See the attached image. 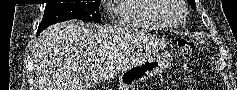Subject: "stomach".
<instances>
[{
    "label": "stomach",
    "instance_id": "0dacf381",
    "mask_svg": "<svg viewBox=\"0 0 237 90\" xmlns=\"http://www.w3.org/2000/svg\"><path fill=\"white\" fill-rule=\"evenodd\" d=\"M170 56L161 54L157 57L145 59L125 69L119 76L121 90H129L135 83L148 80L161 74L170 66Z\"/></svg>",
    "mask_w": 237,
    "mask_h": 90
}]
</instances>
